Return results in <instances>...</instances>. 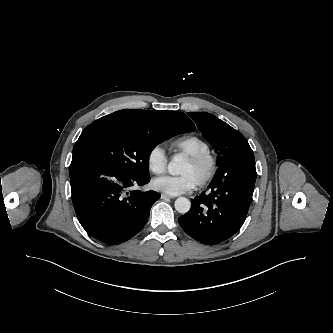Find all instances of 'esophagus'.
<instances>
[{
    "label": "esophagus",
    "mask_w": 333,
    "mask_h": 333,
    "mask_svg": "<svg viewBox=\"0 0 333 333\" xmlns=\"http://www.w3.org/2000/svg\"><path fill=\"white\" fill-rule=\"evenodd\" d=\"M172 197L167 195V194H161V199H164V200H170Z\"/></svg>",
    "instance_id": "34e87169"
}]
</instances>
